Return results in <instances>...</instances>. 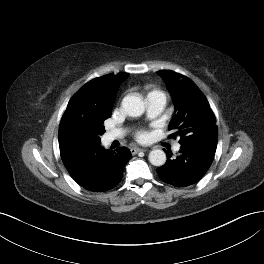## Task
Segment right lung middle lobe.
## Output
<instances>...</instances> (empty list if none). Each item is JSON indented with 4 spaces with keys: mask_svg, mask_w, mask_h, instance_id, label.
I'll use <instances>...</instances> for the list:
<instances>
[{
    "mask_svg": "<svg viewBox=\"0 0 264 264\" xmlns=\"http://www.w3.org/2000/svg\"><path fill=\"white\" fill-rule=\"evenodd\" d=\"M111 117V112L96 118L93 121L87 122L82 125L76 126V128L70 130L68 140H80V141H95L100 140V136L105 132L103 122Z\"/></svg>",
    "mask_w": 264,
    "mask_h": 264,
    "instance_id": "dd1d6c3e",
    "label": "right lung middle lobe"
}]
</instances>
